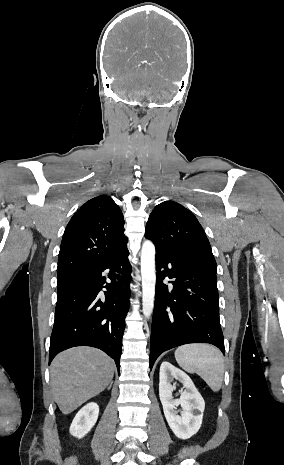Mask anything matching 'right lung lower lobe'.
<instances>
[{
  "instance_id": "right-lung-lower-lobe-1",
  "label": "right lung lower lobe",
  "mask_w": 284,
  "mask_h": 465,
  "mask_svg": "<svg viewBox=\"0 0 284 465\" xmlns=\"http://www.w3.org/2000/svg\"><path fill=\"white\" fill-rule=\"evenodd\" d=\"M128 249L87 270L58 279L55 321L49 364L61 351L74 346L103 350L120 368L122 336L129 310L131 265ZM109 273L105 275L104 271ZM111 283H107L106 279ZM104 296L102 294V289Z\"/></svg>"
}]
</instances>
